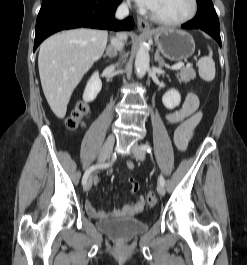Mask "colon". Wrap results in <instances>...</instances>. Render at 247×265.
I'll return each mask as SVG.
<instances>
[{
  "mask_svg": "<svg viewBox=\"0 0 247 265\" xmlns=\"http://www.w3.org/2000/svg\"><path fill=\"white\" fill-rule=\"evenodd\" d=\"M89 114H90L89 105L86 102L78 103L66 121L67 128L70 131H75L79 129L84 124V121L89 116ZM131 186L133 191L138 190V183L136 181L132 180ZM145 202L149 207L155 206L157 203L156 194L154 192H149L145 198Z\"/></svg>",
  "mask_w": 247,
  "mask_h": 265,
  "instance_id": "obj_1",
  "label": "colon"
}]
</instances>
